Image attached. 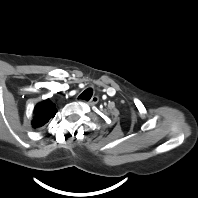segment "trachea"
I'll return each mask as SVG.
<instances>
[{
  "instance_id": "1",
  "label": "trachea",
  "mask_w": 198,
  "mask_h": 198,
  "mask_svg": "<svg viewBox=\"0 0 198 198\" xmlns=\"http://www.w3.org/2000/svg\"><path fill=\"white\" fill-rule=\"evenodd\" d=\"M92 95H93V90L91 88H88L79 95L78 99L89 101Z\"/></svg>"
}]
</instances>
